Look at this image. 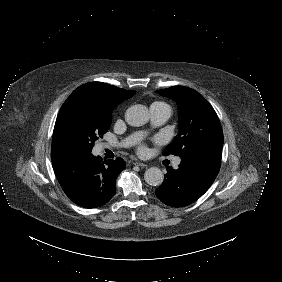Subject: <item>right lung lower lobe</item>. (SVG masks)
I'll return each instance as SVG.
<instances>
[{"label":"right lung lower lobe","instance_id":"right-lung-lower-lobe-1","mask_svg":"<svg viewBox=\"0 0 282 282\" xmlns=\"http://www.w3.org/2000/svg\"><path fill=\"white\" fill-rule=\"evenodd\" d=\"M56 177L67 196L84 208L107 203L116 192V178L125 169L122 158L105 161L91 153L71 155L52 161Z\"/></svg>","mask_w":282,"mask_h":282}]
</instances>
